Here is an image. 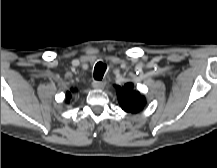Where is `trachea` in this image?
Segmentation results:
<instances>
[{
	"mask_svg": "<svg viewBox=\"0 0 217 168\" xmlns=\"http://www.w3.org/2000/svg\"><path fill=\"white\" fill-rule=\"evenodd\" d=\"M105 70L106 66L102 62H98L94 68V78L96 80H102Z\"/></svg>",
	"mask_w": 217,
	"mask_h": 168,
	"instance_id": "obj_1",
	"label": "trachea"
}]
</instances>
